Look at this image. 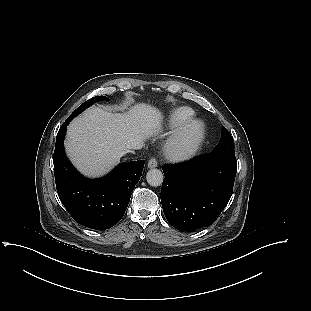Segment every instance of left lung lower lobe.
Listing matches in <instances>:
<instances>
[{
  "label": "left lung lower lobe",
  "instance_id": "obj_1",
  "mask_svg": "<svg viewBox=\"0 0 311 311\" xmlns=\"http://www.w3.org/2000/svg\"><path fill=\"white\" fill-rule=\"evenodd\" d=\"M162 169L165 217L177 230L191 231L211 225L227 205L237 161L235 156L207 153Z\"/></svg>",
  "mask_w": 311,
  "mask_h": 311
}]
</instances>
